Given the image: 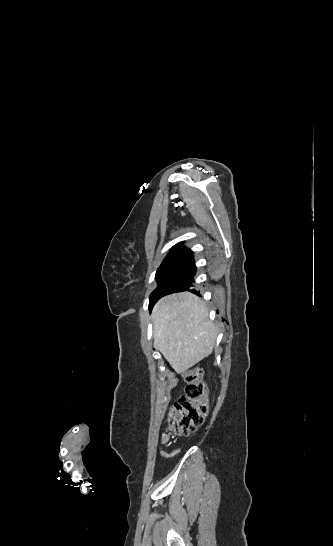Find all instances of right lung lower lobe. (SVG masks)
Returning a JSON list of instances; mask_svg holds the SVG:
<instances>
[{
	"label": "right lung lower lobe",
	"instance_id": "98d812e1",
	"mask_svg": "<svg viewBox=\"0 0 333 546\" xmlns=\"http://www.w3.org/2000/svg\"><path fill=\"white\" fill-rule=\"evenodd\" d=\"M192 254V251L187 252L179 262L162 276L155 289L153 298L149 301L150 309H152L158 299L171 293L189 290L190 292L199 295L194 289H189L193 285L192 283L196 273V266Z\"/></svg>",
	"mask_w": 333,
	"mask_h": 546
}]
</instances>
